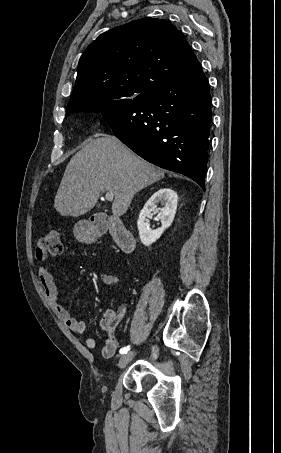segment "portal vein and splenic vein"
Listing matches in <instances>:
<instances>
[{"instance_id":"1","label":"portal vein and splenic vein","mask_w":281,"mask_h":453,"mask_svg":"<svg viewBox=\"0 0 281 453\" xmlns=\"http://www.w3.org/2000/svg\"><path fill=\"white\" fill-rule=\"evenodd\" d=\"M105 198H106V200H113L114 192H106Z\"/></svg>"}]
</instances>
